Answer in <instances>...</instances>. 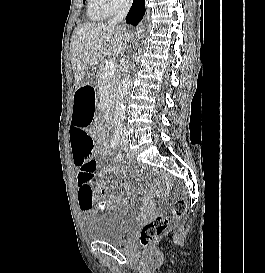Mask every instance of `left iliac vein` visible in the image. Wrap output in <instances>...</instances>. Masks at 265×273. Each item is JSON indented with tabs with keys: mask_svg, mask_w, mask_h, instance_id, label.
<instances>
[{
	"mask_svg": "<svg viewBox=\"0 0 265 273\" xmlns=\"http://www.w3.org/2000/svg\"><path fill=\"white\" fill-rule=\"evenodd\" d=\"M120 143L122 146H126L128 144V136L125 132H123L122 137L120 139Z\"/></svg>",
	"mask_w": 265,
	"mask_h": 273,
	"instance_id": "obj_1",
	"label": "left iliac vein"
}]
</instances>
